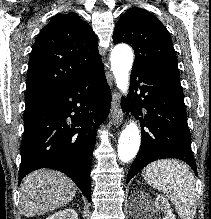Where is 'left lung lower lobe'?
Segmentation results:
<instances>
[{
    "instance_id": "1",
    "label": "left lung lower lobe",
    "mask_w": 211,
    "mask_h": 219,
    "mask_svg": "<svg viewBox=\"0 0 211 219\" xmlns=\"http://www.w3.org/2000/svg\"><path fill=\"white\" fill-rule=\"evenodd\" d=\"M129 103L133 112L136 109L143 115L144 108L146 114L139 118L142 143L127 183L146 165L164 158L180 159L197 174L179 74L133 67ZM125 104L122 100V106Z\"/></svg>"
}]
</instances>
